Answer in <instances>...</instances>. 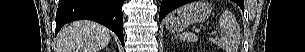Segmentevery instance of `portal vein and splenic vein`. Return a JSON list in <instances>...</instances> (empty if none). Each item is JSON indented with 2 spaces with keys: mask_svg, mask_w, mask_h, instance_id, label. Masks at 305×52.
<instances>
[{
  "mask_svg": "<svg viewBox=\"0 0 305 52\" xmlns=\"http://www.w3.org/2000/svg\"><path fill=\"white\" fill-rule=\"evenodd\" d=\"M195 31H196V32H199L198 29H196ZM216 33H217L216 31H212V32H211V34H213V35L216 34Z\"/></svg>",
  "mask_w": 305,
  "mask_h": 52,
  "instance_id": "1",
  "label": "portal vein and splenic vein"
}]
</instances>
